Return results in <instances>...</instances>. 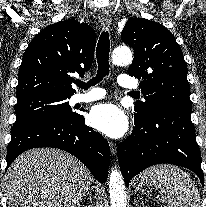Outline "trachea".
Segmentation results:
<instances>
[{
	"label": "trachea",
	"instance_id": "1",
	"mask_svg": "<svg viewBox=\"0 0 206 207\" xmlns=\"http://www.w3.org/2000/svg\"><path fill=\"white\" fill-rule=\"evenodd\" d=\"M109 51L110 40L108 31H103L97 45L96 58L98 63V71L96 77L92 78L89 82L77 81L76 85L84 90H87L90 86H94L109 74ZM135 95L134 92L131 93Z\"/></svg>",
	"mask_w": 206,
	"mask_h": 207
}]
</instances>
